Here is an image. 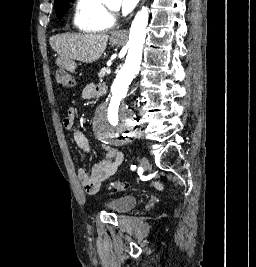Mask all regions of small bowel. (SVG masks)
I'll use <instances>...</instances> for the list:
<instances>
[{
	"label": "small bowel",
	"instance_id": "small-bowel-1",
	"mask_svg": "<svg viewBox=\"0 0 256 267\" xmlns=\"http://www.w3.org/2000/svg\"><path fill=\"white\" fill-rule=\"evenodd\" d=\"M104 93V87L91 83L82 89L81 95L83 99L90 100L100 97ZM75 115L76 110L69 108L63 121L64 127L72 131V138L76 145L84 152L89 153L91 147L86 136L74 128ZM102 150L105 154L103 160L97 162L89 171L83 168L78 171L79 182L89 194L97 193L102 182L113 176L123 161V153L119 149L109 144H103Z\"/></svg>",
	"mask_w": 256,
	"mask_h": 267
}]
</instances>
